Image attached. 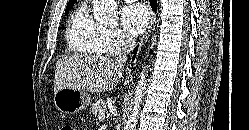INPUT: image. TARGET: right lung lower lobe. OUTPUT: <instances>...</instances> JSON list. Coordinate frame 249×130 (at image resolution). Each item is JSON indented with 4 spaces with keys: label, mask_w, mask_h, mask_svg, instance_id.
<instances>
[{
    "label": "right lung lower lobe",
    "mask_w": 249,
    "mask_h": 130,
    "mask_svg": "<svg viewBox=\"0 0 249 130\" xmlns=\"http://www.w3.org/2000/svg\"><path fill=\"white\" fill-rule=\"evenodd\" d=\"M150 5H151L152 9L154 11H156V9H157V0H150ZM137 48H138V46L134 49L133 59L135 58V54H136Z\"/></svg>",
    "instance_id": "obj_1"
}]
</instances>
